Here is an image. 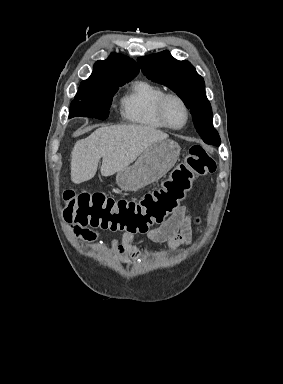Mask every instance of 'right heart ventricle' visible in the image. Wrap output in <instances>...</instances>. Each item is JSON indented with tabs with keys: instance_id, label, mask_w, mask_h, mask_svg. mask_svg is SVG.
I'll use <instances>...</instances> for the list:
<instances>
[{
	"instance_id": "1",
	"label": "right heart ventricle",
	"mask_w": 283,
	"mask_h": 384,
	"mask_svg": "<svg viewBox=\"0 0 283 384\" xmlns=\"http://www.w3.org/2000/svg\"><path fill=\"white\" fill-rule=\"evenodd\" d=\"M165 91L142 78L134 79L120 98L122 118L142 129L165 130L155 116V107Z\"/></svg>"
}]
</instances>
